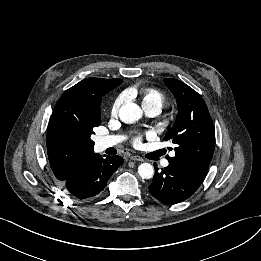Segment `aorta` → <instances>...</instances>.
Wrapping results in <instances>:
<instances>
[{"mask_svg":"<svg viewBox=\"0 0 261 261\" xmlns=\"http://www.w3.org/2000/svg\"><path fill=\"white\" fill-rule=\"evenodd\" d=\"M142 114V109L132 102L123 104L119 110L121 121L127 124L138 121L142 117ZM138 174L143 179H150L154 175V167L149 163H142L138 167Z\"/></svg>","mask_w":261,"mask_h":261,"instance_id":"obj_1","label":"aorta"}]
</instances>
